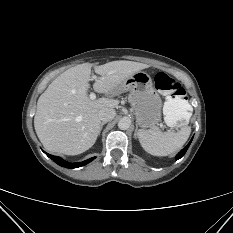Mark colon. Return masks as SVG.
Returning a JSON list of instances; mask_svg holds the SVG:
<instances>
[{
    "instance_id": "1",
    "label": "colon",
    "mask_w": 233,
    "mask_h": 233,
    "mask_svg": "<svg viewBox=\"0 0 233 233\" xmlns=\"http://www.w3.org/2000/svg\"><path fill=\"white\" fill-rule=\"evenodd\" d=\"M154 83L156 89L166 94L163 106L166 122L177 128L185 126L192 116V107L182 86L163 72L155 75Z\"/></svg>"
}]
</instances>
